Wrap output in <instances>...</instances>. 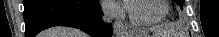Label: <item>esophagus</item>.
<instances>
[{
    "instance_id": "obj_1",
    "label": "esophagus",
    "mask_w": 219,
    "mask_h": 37,
    "mask_svg": "<svg viewBox=\"0 0 219 37\" xmlns=\"http://www.w3.org/2000/svg\"><path fill=\"white\" fill-rule=\"evenodd\" d=\"M114 33L117 35V37H125V35H127V30L121 22L115 21Z\"/></svg>"
}]
</instances>
